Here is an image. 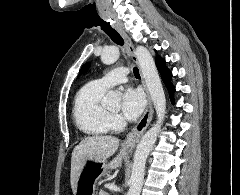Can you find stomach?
<instances>
[{"mask_svg": "<svg viewBox=\"0 0 240 195\" xmlns=\"http://www.w3.org/2000/svg\"><path fill=\"white\" fill-rule=\"evenodd\" d=\"M126 147V149H131ZM108 163L106 159L100 161H87L81 175L76 183V191L74 195H96V185L98 179L107 173Z\"/></svg>", "mask_w": 240, "mask_h": 195, "instance_id": "1", "label": "stomach"}]
</instances>
